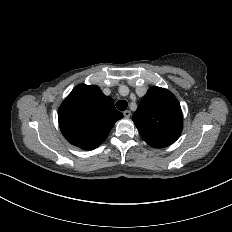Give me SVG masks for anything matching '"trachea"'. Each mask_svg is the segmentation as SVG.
I'll use <instances>...</instances> for the list:
<instances>
[{"mask_svg": "<svg viewBox=\"0 0 232 232\" xmlns=\"http://www.w3.org/2000/svg\"><path fill=\"white\" fill-rule=\"evenodd\" d=\"M116 107H117L118 110L124 111V110L127 109L128 103H127L126 100H119V101H117V103H116Z\"/></svg>", "mask_w": 232, "mask_h": 232, "instance_id": "trachea-1", "label": "trachea"}]
</instances>
